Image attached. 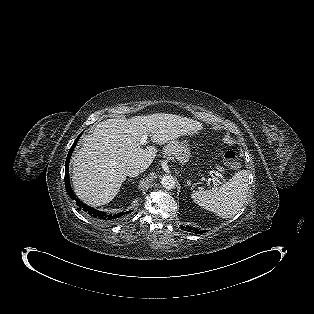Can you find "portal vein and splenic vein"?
<instances>
[{
    "instance_id": "obj_1",
    "label": "portal vein and splenic vein",
    "mask_w": 314,
    "mask_h": 314,
    "mask_svg": "<svg viewBox=\"0 0 314 314\" xmlns=\"http://www.w3.org/2000/svg\"><path fill=\"white\" fill-rule=\"evenodd\" d=\"M146 143H147V135H143L141 140H140V144L145 145ZM211 173H214L215 176L222 178V176L217 172L211 171ZM214 175H212V181H213L214 185H216L217 178Z\"/></svg>"
}]
</instances>
